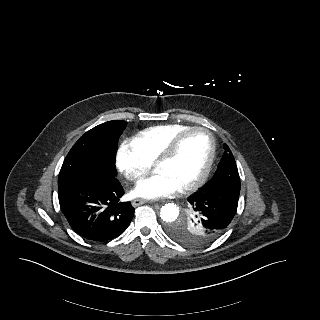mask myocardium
Segmentation results:
<instances>
[{"label":"myocardium","instance_id":"myocardium-1","mask_svg":"<svg viewBox=\"0 0 320 320\" xmlns=\"http://www.w3.org/2000/svg\"><path fill=\"white\" fill-rule=\"evenodd\" d=\"M195 132H202L205 133L210 141V152L208 156V160L206 162V165L202 171V173L192 182L182 186L179 191L180 192H189L192 191L199 186H201L206 179L208 178L216 156V141L211 133L207 128L205 127H200V126H193L189 127L186 130L178 133L170 142L169 144L165 147V149L162 151V153L154 160V167H157L159 164L164 163L168 160H170L175 153L177 152L181 142L185 137L188 135L195 133Z\"/></svg>","mask_w":320,"mask_h":320}]
</instances>
